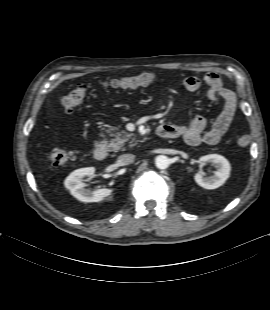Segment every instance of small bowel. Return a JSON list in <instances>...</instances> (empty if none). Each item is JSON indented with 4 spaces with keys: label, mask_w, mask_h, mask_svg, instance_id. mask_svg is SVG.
Returning a JSON list of instances; mask_svg holds the SVG:
<instances>
[{
    "label": "small bowel",
    "mask_w": 270,
    "mask_h": 310,
    "mask_svg": "<svg viewBox=\"0 0 270 310\" xmlns=\"http://www.w3.org/2000/svg\"><path fill=\"white\" fill-rule=\"evenodd\" d=\"M202 84L207 86V96L211 101L221 100L223 103L222 111L211 127L205 130L206 120L200 115L186 125L164 124L160 127L167 131L170 138L180 137L190 146L217 144L236 119L235 94L224 86L218 73L208 72L202 78L188 76L182 80V86L191 92L198 90Z\"/></svg>",
    "instance_id": "1"
}]
</instances>
